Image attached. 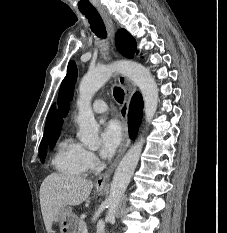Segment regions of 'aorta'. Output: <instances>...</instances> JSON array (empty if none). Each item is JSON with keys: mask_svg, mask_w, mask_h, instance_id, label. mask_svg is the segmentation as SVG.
Wrapping results in <instances>:
<instances>
[{"mask_svg": "<svg viewBox=\"0 0 227 233\" xmlns=\"http://www.w3.org/2000/svg\"><path fill=\"white\" fill-rule=\"evenodd\" d=\"M115 72H120L131 79L140 89L144 100L146 121L154 117L158 105V87L151 73L143 65L136 62L124 61L101 66L89 71L83 76L79 85V109L77 123L79 124L78 136L81 142L92 149L100 145L99 125L97 124L91 108L94 94L109 80ZM144 139L141 137L124 155L117 166L107 199L108 211L105 220L110 222L115 219L118 206L126 191L132 175L139 162Z\"/></svg>", "mask_w": 227, "mask_h": 233, "instance_id": "762f6f07", "label": "aorta"}]
</instances>
